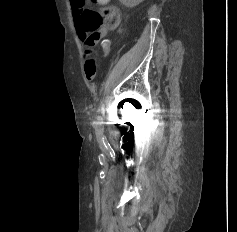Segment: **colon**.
Listing matches in <instances>:
<instances>
[{
  "instance_id": "5ec220e1",
  "label": "colon",
  "mask_w": 237,
  "mask_h": 232,
  "mask_svg": "<svg viewBox=\"0 0 237 232\" xmlns=\"http://www.w3.org/2000/svg\"><path fill=\"white\" fill-rule=\"evenodd\" d=\"M93 2L109 1L92 0ZM75 24L79 31L80 37L89 44L94 45L101 38L100 28L103 24V19L113 15L111 8H105L104 12L98 13L86 7V0H71Z\"/></svg>"
}]
</instances>
